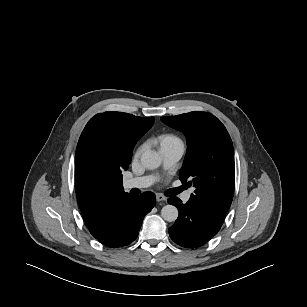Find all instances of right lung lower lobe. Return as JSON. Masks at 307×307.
<instances>
[{
	"instance_id": "right-lung-lower-lobe-1",
	"label": "right lung lower lobe",
	"mask_w": 307,
	"mask_h": 307,
	"mask_svg": "<svg viewBox=\"0 0 307 307\" xmlns=\"http://www.w3.org/2000/svg\"><path fill=\"white\" fill-rule=\"evenodd\" d=\"M155 205V196L145 192L133 196L122 209L112 230L99 240L108 247H122L133 242L139 233L143 218Z\"/></svg>"
}]
</instances>
